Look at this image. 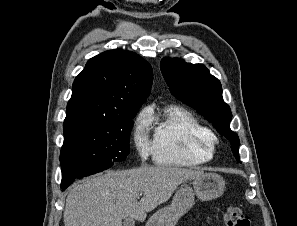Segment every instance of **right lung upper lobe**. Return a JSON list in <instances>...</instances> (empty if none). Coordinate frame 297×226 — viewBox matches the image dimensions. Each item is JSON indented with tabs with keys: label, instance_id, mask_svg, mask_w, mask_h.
I'll list each match as a JSON object with an SVG mask.
<instances>
[{
	"label": "right lung upper lobe",
	"instance_id": "right-lung-upper-lobe-1",
	"mask_svg": "<svg viewBox=\"0 0 297 226\" xmlns=\"http://www.w3.org/2000/svg\"><path fill=\"white\" fill-rule=\"evenodd\" d=\"M153 82L152 68L137 54L110 50L91 58L75 78L65 121L120 119L142 105Z\"/></svg>",
	"mask_w": 297,
	"mask_h": 226
}]
</instances>
